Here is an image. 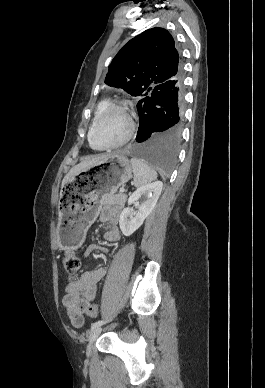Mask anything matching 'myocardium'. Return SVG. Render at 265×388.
Listing matches in <instances>:
<instances>
[{
	"mask_svg": "<svg viewBox=\"0 0 265 388\" xmlns=\"http://www.w3.org/2000/svg\"><path fill=\"white\" fill-rule=\"evenodd\" d=\"M111 110H117L126 116L127 121H128V128H127V131L124 134V136L117 143L112 144V145H101L97 142L96 137H95L96 128H97V125L100 122V120L103 118V116ZM134 128H135L134 120H133L132 114H131L128 107L120 105V104H109L105 108H103L102 111L95 118V120L91 126L89 136H90V140H91V143L93 144V146H95L97 148H102V149H115V148H119V147L124 146L131 139Z\"/></svg>",
	"mask_w": 265,
	"mask_h": 388,
	"instance_id": "1",
	"label": "myocardium"
}]
</instances>
